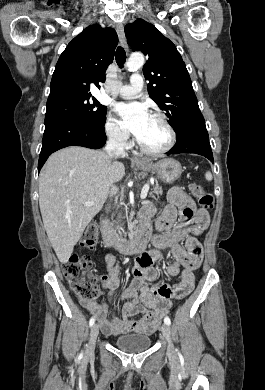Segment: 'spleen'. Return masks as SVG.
Wrapping results in <instances>:
<instances>
[{
  "label": "spleen",
  "mask_w": 265,
  "mask_h": 390,
  "mask_svg": "<svg viewBox=\"0 0 265 390\" xmlns=\"http://www.w3.org/2000/svg\"><path fill=\"white\" fill-rule=\"evenodd\" d=\"M205 178H206V180H208V181H211L212 180V174H211V172H206V174H205Z\"/></svg>",
  "instance_id": "3e777b00"
}]
</instances>
